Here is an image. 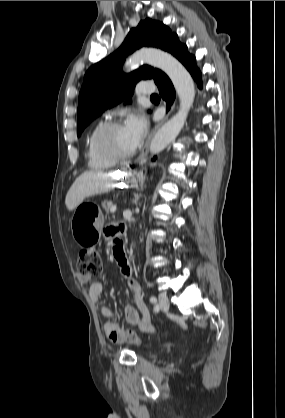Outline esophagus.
Here are the masks:
<instances>
[{"label":"esophagus","instance_id":"esophagus-1","mask_svg":"<svg viewBox=\"0 0 285 418\" xmlns=\"http://www.w3.org/2000/svg\"><path fill=\"white\" fill-rule=\"evenodd\" d=\"M167 119V115L164 117V119L159 123V124H157L153 129H152V131L150 132V134H149V136H148V138H147V140H146V143H145V145H144V147H143V149H142V151H141V153H140V155H139V157H138V159H137V163H140V162H142L143 161V159L146 157V155H147V151H148V147H149V144H150V141H151V139L153 138V136H154V134L156 133V131L158 130V128L164 123V121Z\"/></svg>","mask_w":285,"mask_h":418}]
</instances>
